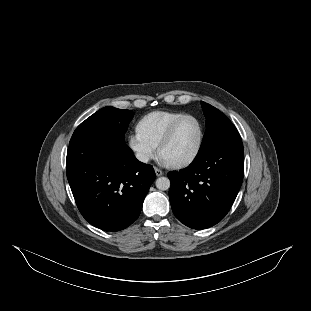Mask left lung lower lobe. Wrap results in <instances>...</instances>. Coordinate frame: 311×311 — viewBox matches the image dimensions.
<instances>
[{
  "label": "left lung lower lobe",
  "instance_id": "left-lung-lower-lobe-1",
  "mask_svg": "<svg viewBox=\"0 0 311 311\" xmlns=\"http://www.w3.org/2000/svg\"><path fill=\"white\" fill-rule=\"evenodd\" d=\"M244 175L242 140L220 145L185 169L171 171L169 198L176 218L193 229H206L230 210Z\"/></svg>",
  "mask_w": 311,
  "mask_h": 311
}]
</instances>
